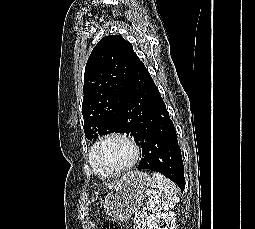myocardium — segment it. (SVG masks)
<instances>
[{
	"mask_svg": "<svg viewBox=\"0 0 255 229\" xmlns=\"http://www.w3.org/2000/svg\"><path fill=\"white\" fill-rule=\"evenodd\" d=\"M113 138H118V139L125 141L131 147L133 156H132L131 161L128 164H126L120 168L109 169V168L105 167L104 165H102L98 161L97 151H98V148L101 146V144H103L105 141H107L109 139H113ZM139 153H140L139 147H138L137 143L135 142V140L132 137H130L128 134L123 133V132H118V131L109 132V133L101 136L100 138H98L94 142V144L92 145L91 150H90L92 163H95L98 166H100L110 177L120 175V174L130 170L137 163V161L139 159Z\"/></svg>",
	"mask_w": 255,
	"mask_h": 229,
	"instance_id": "obj_1",
	"label": "myocardium"
}]
</instances>
